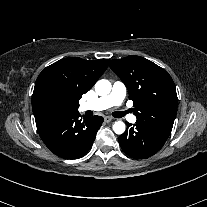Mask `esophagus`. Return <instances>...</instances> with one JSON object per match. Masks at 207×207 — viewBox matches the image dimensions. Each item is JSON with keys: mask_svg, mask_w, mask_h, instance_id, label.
Segmentation results:
<instances>
[{"mask_svg": "<svg viewBox=\"0 0 207 207\" xmlns=\"http://www.w3.org/2000/svg\"><path fill=\"white\" fill-rule=\"evenodd\" d=\"M104 121L107 122V123H109V122L112 121V118L110 116H105L104 117Z\"/></svg>", "mask_w": 207, "mask_h": 207, "instance_id": "1", "label": "esophagus"}]
</instances>
